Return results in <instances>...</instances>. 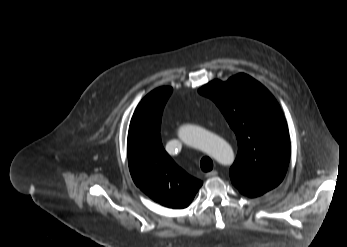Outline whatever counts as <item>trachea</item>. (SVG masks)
I'll use <instances>...</instances> for the list:
<instances>
[{
	"instance_id": "1",
	"label": "trachea",
	"mask_w": 347,
	"mask_h": 247,
	"mask_svg": "<svg viewBox=\"0 0 347 247\" xmlns=\"http://www.w3.org/2000/svg\"><path fill=\"white\" fill-rule=\"evenodd\" d=\"M200 167L204 172H209L213 169V162L209 157H203L200 162Z\"/></svg>"
}]
</instances>
